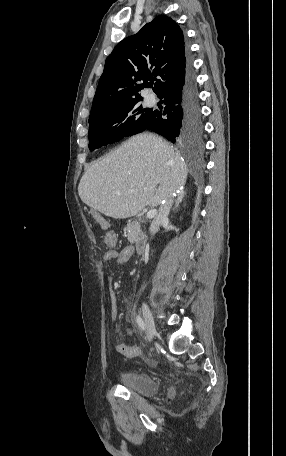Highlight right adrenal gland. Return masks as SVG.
<instances>
[{
  "instance_id": "right-adrenal-gland-1",
  "label": "right adrenal gland",
  "mask_w": 286,
  "mask_h": 456,
  "mask_svg": "<svg viewBox=\"0 0 286 456\" xmlns=\"http://www.w3.org/2000/svg\"><path fill=\"white\" fill-rule=\"evenodd\" d=\"M186 194H187V192L184 189H182L180 191V193L178 194V197H177V199L175 201V205H174V207L172 209L173 211H176V209L179 207V204L182 202V200L184 199Z\"/></svg>"
}]
</instances>
